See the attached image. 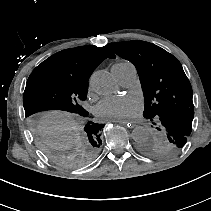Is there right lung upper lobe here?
I'll return each instance as SVG.
<instances>
[{"label": "right lung upper lobe", "instance_id": "right-lung-upper-lobe-1", "mask_svg": "<svg viewBox=\"0 0 211 211\" xmlns=\"http://www.w3.org/2000/svg\"><path fill=\"white\" fill-rule=\"evenodd\" d=\"M106 58H115L107 47L82 46L55 53L38 65L32 73L44 72L88 80Z\"/></svg>", "mask_w": 211, "mask_h": 211}]
</instances>
